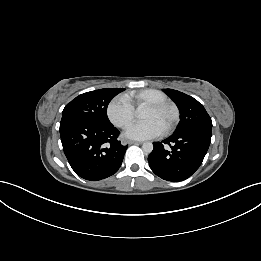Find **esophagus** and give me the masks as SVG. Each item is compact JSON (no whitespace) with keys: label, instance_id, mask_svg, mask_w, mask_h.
<instances>
[{"label":"esophagus","instance_id":"obj_1","mask_svg":"<svg viewBox=\"0 0 261 261\" xmlns=\"http://www.w3.org/2000/svg\"><path fill=\"white\" fill-rule=\"evenodd\" d=\"M127 143H128L129 145H133V144H136V145H138V144H142L141 141H134V140H128Z\"/></svg>","mask_w":261,"mask_h":261}]
</instances>
